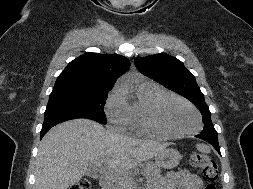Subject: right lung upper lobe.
Masks as SVG:
<instances>
[{"mask_svg":"<svg viewBox=\"0 0 253 189\" xmlns=\"http://www.w3.org/2000/svg\"><path fill=\"white\" fill-rule=\"evenodd\" d=\"M129 67L130 62L124 56L87 52L67 65L58 76L54 88H112L116 79Z\"/></svg>","mask_w":253,"mask_h":189,"instance_id":"cb5924a9","label":"right lung upper lobe"}]
</instances>
